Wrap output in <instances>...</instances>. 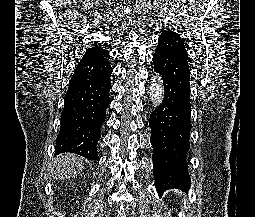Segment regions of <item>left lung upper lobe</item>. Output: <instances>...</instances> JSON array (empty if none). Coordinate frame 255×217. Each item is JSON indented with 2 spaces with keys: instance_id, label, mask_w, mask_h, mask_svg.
I'll list each match as a JSON object with an SVG mask.
<instances>
[{
  "instance_id": "obj_1",
  "label": "left lung upper lobe",
  "mask_w": 255,
  "mask_h": 217,
  "mask_svg": "<svg viewBox=\"0 0 255 217\" xmlns=\"http://www.w3.org/2000/svg\"><path fill=\"white\" fill-rule=\"evenodd\" d=\"M158 46L171 49L180 55L187 57L184 40L175 31L169 29L162 31L158 40Z\"/></svg>"
}]
</instances>
